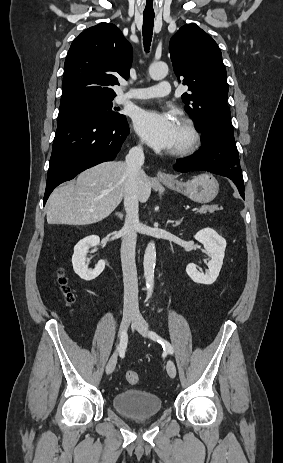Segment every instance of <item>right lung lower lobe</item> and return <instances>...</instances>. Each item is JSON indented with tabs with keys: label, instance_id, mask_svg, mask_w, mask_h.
<instances>
[{
	"label": "right lung lower lobe",
	"instance_id": "98d812e1",
	"mask_svg": "<svg viewBox=\"0 0 283 463\" xmlns=\"http://www.w3.org/2000/svg\"><path fill=\"white\" fill-rule=\"evenodd\" d=\"M130 133L126 116L117 120L80 117L58 125L47 175L44 205L59 184L83 170L112 161Z\"/></svg>",
	"mask_w": 283,
	"mask_h": 463
}]
</instances>
